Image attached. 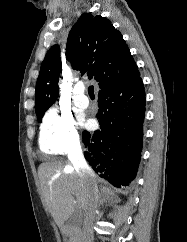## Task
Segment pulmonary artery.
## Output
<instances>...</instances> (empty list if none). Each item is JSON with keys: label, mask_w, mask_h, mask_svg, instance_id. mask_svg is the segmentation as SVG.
<instances>
[{"label": "pulmonary artery", "mask_w": 187, "mask_h": 242, "mask_svg": "<svg viewBox=\"0 0 187 242\" xmlns=\"http://www.w3.org/2000/svg\"><path fill=\"white\" fill-rule=\"evenodd\" d=\"M85 88L82 84L76 85L74 88V103L79 108H87L89 100L84 94Z\"/></svg>", "instance_id": "pulmonary-artery-1"}]
</instances>
